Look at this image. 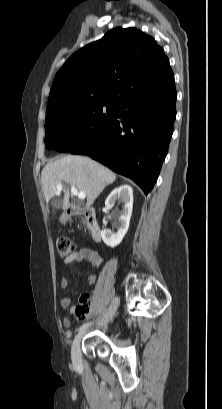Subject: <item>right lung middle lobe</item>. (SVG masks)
<instances>
[{"instance_id": "obj_1", "label": "right lung middle lobe", "mask_w": 222, "mask_h": 409, "mask_svg": "<svg viewBox=\"0 0 222 409\" xmlns=\"http://www.w3.org/2000/svg\"><path fill=\"white\" fill-rule=\"evenodd\" d=\"M116 102L72 104L46 113L45 145L72 154L97 150L117 112Z\"/></svg>"}]
</instances>
